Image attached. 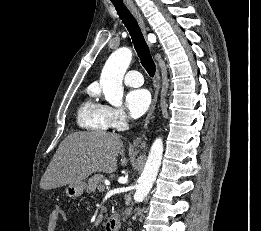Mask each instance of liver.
<instances>
[{"label": "liver", "mask_w": 261, "mask_h": 231, "mask_svg": "<svg viewBox=\"0 0 261 231\" xmlns=\"http://www.w3.org/2000/svg\"><path fill=\"white\" fill-rule=\"evenodd\" d=\"M123 146L121 136L108 132H75L59 145L49 163L40 187L44 190L82 182L94 172L112 173ZM121 165L128 160L122 157Z\"/></svg>", "instance_id": "obj_1"}]
</instances>
